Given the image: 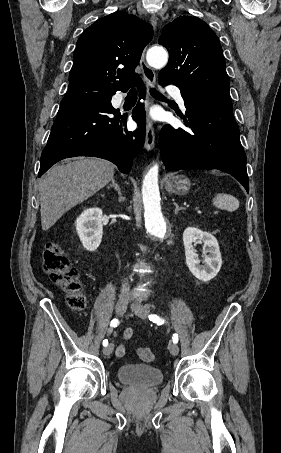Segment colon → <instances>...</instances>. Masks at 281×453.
Masks as SVG:
<instances>
[{
    "label": "colon",
    "mask_w": 281,
    "mask_h": 453,
    "mask_svg": "<svg viewBox=\"0 0 281 453\" xmlns=\"http://www.w3.org/2000/svg\"><path fill=\"white\" fill-rule=\"evenodd\" d=\"M42 255L44 271L67 294L70 307L76 312H84L86 303L79 271L70 264L68 255L53 242L43 244ZM138 358L144 363H153L157 359L151 350L144 348L138 350Z\"/></svg>",
    "instance_id": "1"
}]
</instances>
